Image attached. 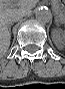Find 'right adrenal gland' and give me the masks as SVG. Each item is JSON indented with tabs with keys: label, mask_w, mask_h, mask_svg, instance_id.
<instances>
[{
	"label": "right adrenal gland",
	"mask_w": 65,
	"mask_h": 89,
	"mask_svg": "<svg viewBox=\"0 0 65 89\" xmlns=\"http://www.w3.org/2000/svg\"><path fill=\"white\" fill-rule=\"evenodd\" d=\"M9 32H11V25L9 26Z\"/></svg>",
	"instance_id": "2a0ac1e0"
}]
</instances>
